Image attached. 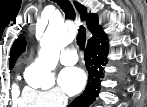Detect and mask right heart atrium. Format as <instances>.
<instances>
[{
	"instance_id": "1",
	"label": "right heart atrium",
	"mask_w": 147,
	"mask_h": 107,
	"mask_svg": "<svg viewBox=\"0 0 147 107\" xmlns=\"http://www.w3.org/2000/svg\"><path fill=\"white\" fill-rule=\"evenodd\" d=\"M27 95H31L34 102L41 107H59L66 104V97L57 88L38 91L32 88L25 90Z\"/></svg>"
}]
</instances>
